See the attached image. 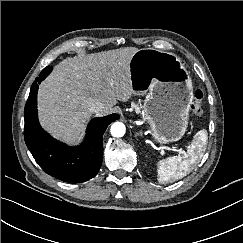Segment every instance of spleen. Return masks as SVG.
Returning a JSON list of instances; mask_svg holds the SVG:
<instances>
[{
  "label": "spleen",
  "instance_id": "obj_1",
  "mask_svg": "<svg viewBox=\"0 0 243 243\" xmlns=\"http://www.w3.org/2000/svg\"><path fill=\"white\" fill-rule=\"evenodd\" d=\"M207 140V131L202 129L195 134L186 153L160 160L157 170L158 181L160 183L173 182L189 174L202 158Z\"/></svg>",
  "mask_w": 243,
  "mask_h": 243
}]
</instances>
